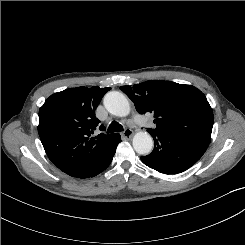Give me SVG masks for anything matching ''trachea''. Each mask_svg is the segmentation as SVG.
Wrapping results in <instances>:
<instances>
[{"mask_svg": "<svg viewBox=\"0 0 245 245\" xmlns=\"http://www.w3.org/2000/svg\"><path fill=\"white\" fill-rule=\"evenodd\" d=\"M123 130H124V128H123V126H122L121 124H119V123L116 122V121H113V122L109 125V127H108V129H107V133L121 132V131H123Z\"/></svg>", "mask_w": 245, "mask_h": 245, "instance_id": "obj_1", "label": "trachea"}]
</instances>
